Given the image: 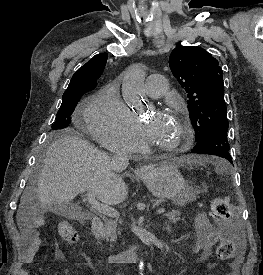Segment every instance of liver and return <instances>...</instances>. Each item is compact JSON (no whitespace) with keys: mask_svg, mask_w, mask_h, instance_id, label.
Listing matches in <instances>:
<instances>
[{"mask_svg":"<svg viewBox=\"0 0 263 275\" xmlns=\"http://www.w3.org/2000/svg\"><path fill=\"white\" fill-rule=\"evenodd\" d=\"M176 162L196 163L198 158L185 156ZM124 169L75 133L57 136L46 150L37 186L27 187L21 197L18 225L31 211L52 210L54 204L69 203L80 192H91L106 205L123 202L128 188L117 172Z\"/></svg>","mask_w":263,"mask_h":275,"instance_id":"liver-1","label":"liver"}]
</instances>
